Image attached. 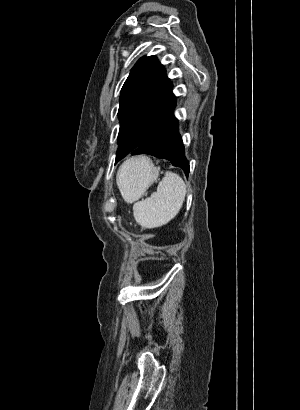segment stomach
<instances>
[{
    "instance_id": "stomach-1",
    "label": "stomach",
    "mask_w": 300,
    "mask_h": 410,
    "mask_svg": "<svg viewBox=\"0 0 300 410\" xmlns=\"http://www.w3.org/2000/svg\"><path fill=\"white\" fill-rule=\"evenodd\" d=\"M140 167L136 169L128 191L130 202L137 200L158 179L159 169L145 157L138 159Z\"/></svg>"
}]
</instances>
